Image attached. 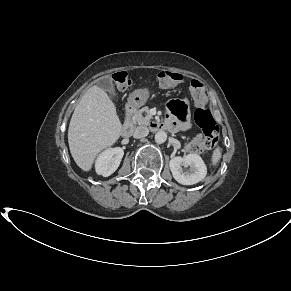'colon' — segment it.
I'll return each instance as SVG.
<instances>
[{"label":"colon","instance_id":"5ec220e1","mask_svg":"<svg viewBox=\"0 0 291 291\" xmlns=\"http://www.w3.org/2000/svg\"><path fill=\"white\" fill-rule=\"evenodd\" d=\"M183 79V76L178 72L161 71L157 74L158 86L162 89L170 88ZM109 83L117 89H126L131 86L132 79L125 72H118L112 75ZM192 94L199 104L194 118L196 124L201 129V133L195 135L187 144L189 152L196 153L202 150H213L217 147L219 140V128L211 114V112L204 107L205 94L202 84L194 81L192 83ZM171 107L174 108L178 117L184 115V107L178 101H172Z\"/></svg>","mask_w":291,"mask_h":291}]
</instances>
